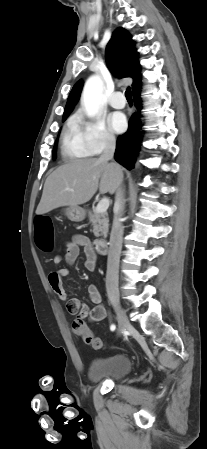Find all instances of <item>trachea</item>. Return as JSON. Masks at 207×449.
<instances>
[{"mask_svg": "<svg viewBox=\"0 0 207 449\" xmlns=\"http://www.w3.org/2000/svg\"><path fill=\"white\" fill-rule=\"evenodd\" d=\"M125 96L127 101L132 102V92L130 88H127L126 92H125Z\"/></svg>", "mask_w": 207, "mask_h": 449, "instance_id": "3493384b", "label": "trachea"}]
</instances>
